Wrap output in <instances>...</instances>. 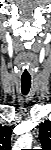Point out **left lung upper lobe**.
Here are the masks:
<instances>
[{
    "label": "left lung upper lobe",
    "instance_id": "1",
    "mask_svg": "<svg viewBox=\"0 0 51 150\" xmlns=\"http://www.w3.org/2000/svg\"><path fill=\"white\" fill-rule=\"evenodd\" d=\"M39 138L44 149L51 147V122L45 121L40 125Z\"/></svg>",
    "mask_w": 51,
    "mask_h": 150
}]
</instances>
